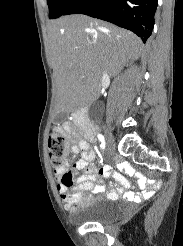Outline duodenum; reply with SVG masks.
<instances>
[{
	"mask_svg": "<svg viewBox=\"0 0 183 246\" xmlns=\"http://www.w3.org/2000/svg\"><path fill=\"white\" fill-rule=\"evenodd\" d=\"M73 118L77 125L84 131L86 137L90 140L95 138L96 127L87 117V109L81 108L73 112Z\"/></svg>",
	"mask_w": 183,
	"mask_h": 246,
	"instance_id": "duodenum-1",
	"label": "duodenum"
}]
</instances>
